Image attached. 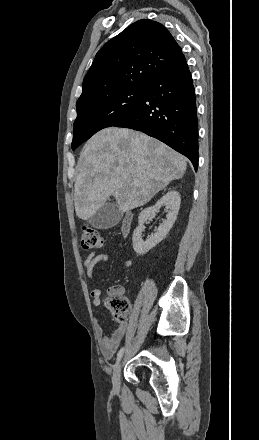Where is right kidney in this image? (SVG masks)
<instances>
[{
	"label": "right kidney",
	"instance_id": "right-kidney-1",
	"mask_svg": "<svg viewBox=\"0 0 259 440\" xmlns=\"http://www.w3.org/2000/svg\"><path fill=\"white\" fill-rule=\"evenodd\" d=\"M180 203L181 198L179 193L172 190L157 201L154 206L141 211L138 217V226L134 230L132 237L133 249L137 254H146L166 237L177 219ZM162 206L169 209L166 220L159 225L156 233L152 234L144 241L142 239L144 223L148 219L154 218Z\"/></svg>",
	"mask_w": 259,
	"mask_h": 440
}]
</instances>
